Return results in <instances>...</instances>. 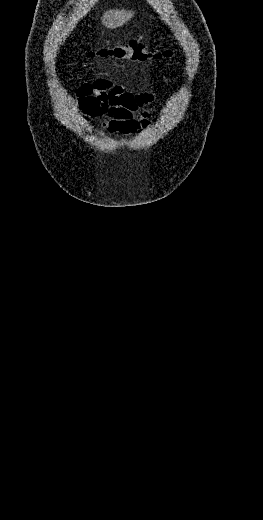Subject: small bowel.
<instances>
[{
    "mask_svg": "<svg viewBox=\"0 0 263 520\" xmlns=\"http://www.w3.org/2000/svg\"><path fill=\"white\" fill-rule=\"evenodd\" d=\"M79 108L92 117H104L103 130L131 135L150 124L145 107L154 99L150 92L130 93L109 79L82 84L76 92Z\"/></svg>",
    "mask_w": 263,
    "mask_h": 520,
    "instance_id": "1",
    "label": "small bowel"
}]
</instances>
